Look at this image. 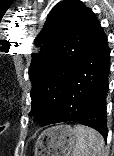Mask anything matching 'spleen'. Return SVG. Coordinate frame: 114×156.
<instances>
[{
  "label": "spleen",
  "mask_w": 114,
  "mask_h": 156,
  "mask_svg": "<svg viewBox=\"0 0 114 156\" xmlns=\"http://www.w3.org/2000/svg\"><path fill=\"white\" fill-rule=\"evenodd\" d=\"M74 128L77 140L71 156H107L104 139L100 133L80 124L75 125Z\"/></svg>",
  "instance_id": "obj_1"
}]
</instances>
